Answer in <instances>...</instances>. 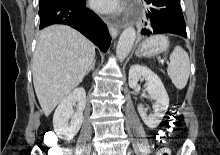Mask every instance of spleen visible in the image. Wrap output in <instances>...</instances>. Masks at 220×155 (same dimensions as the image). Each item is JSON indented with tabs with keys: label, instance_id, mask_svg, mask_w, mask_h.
I'll use <instances>...</instances> for the list:
<instances>
[{
	"label": "spleen",
	"instance_id": "obj_1",
	"mask_svg": "<svg viewBox=\"0 0 220 155\" xmlns=\"http://www.w3.org/2000/svg\"><path fill=\"white\" fill-rule=\"evenodd\" d=\"M167 73L172 83L178 90L185 88L190 74V60L187 52L176 46L170 55Z\"/></svg>",
	"mask_w": 220,
	"mask_h": 155
}]
</instances>
